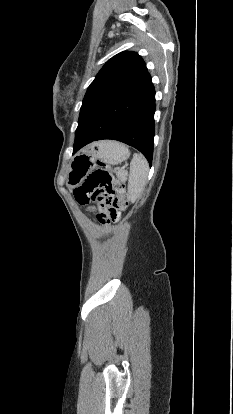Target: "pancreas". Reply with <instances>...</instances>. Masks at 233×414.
Wrapping results in <instances>:
<instances>
[{
	"mask_svg": "<svg viewBox=\"0 0 233 414\" xmlns=\"http://www.w3.org/2000/svg\"><path fill=\"white\" fill-rule=\"evenodd\" d=\"M116 175L118 176V177H120V178H126V173L125 172H122V171H117L116 172Z\"/></svg>",
	"mask_w": 233,
	"mask_h": 414,
	"instance_id": "pancreas-1",
	"label": "pancreas"
}]
</instances>
